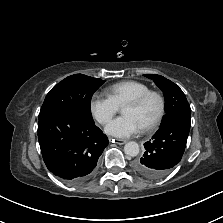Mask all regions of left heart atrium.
<instances>
[{
    "instance_id": "obj_1",
    "label": "left heart atrium",
    "mask_w": 223,
    "mask_h": 223,
    "mask_svg": "<svg viewBox=\"0 0 223 223\" xmlns=\"http://www.w3.org/2000/svg\"><path fill=\"white\" fill-rule=\"evenodd\" d=\"M140 129V125L133 117L124 115L111 121L105 130L109 135L127 138L139 132Z\"/></svg>"
}]
</instances>
